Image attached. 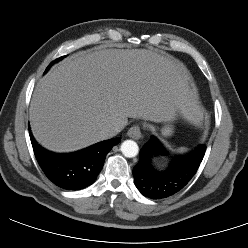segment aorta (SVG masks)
Here are the masks:
<instances>
[{"label":"aorta","mask_w":248,"mask_h":248,"mask_svg":"<svg viewBox=\"0 0 248 248\" xmlns=\"http://www.w3.org/2000/svg\"><path fill=\"white\" fill-rule=\"evenodd\" d=\"M120 149H121L122 154L128 158H133V157L137 156V154L139 152V147H138L137 143L133 140H125L121 144Z\"/></svg>","instance_id":"1"}]
</instances>
